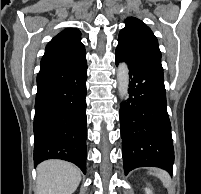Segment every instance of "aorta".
I'll use <instances>...</instances> for the list:
<instances>
[{
  "label": "aorta",
  "instance_id": "1",
  "mask_svg": "<svg viewBox=\"0 0 201 194\" xmlns=\"http://www.w3.org/2000/svg\"><path fill=\"white\" fill-rule=\"evenodd\" d=\"M118 93L122 101L128 99L129 69L126 63H120L117 68Z\"/></svg>",
  "mask_w": 201,
  "mask_h": 194
}]
</instances>
